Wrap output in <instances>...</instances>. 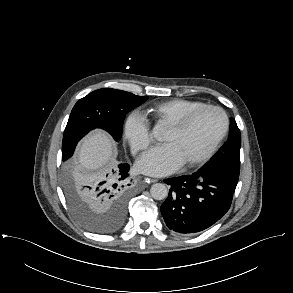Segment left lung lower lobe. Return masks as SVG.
<instances>
[{
  "label": "left lung lower lobe",
  "instance_id": "left-lung-lower-lobe-1",
  "mask_svg": "<svg viewBox=\"0 0 293 293\" xmlns=\"http://www.w3.org/2000/svg\"><path fill=\"white\" fill-rule=\"evenodd\" d=\"M164 182L171 186L161 206L166 225L180 234H194L224 216L238 180L215 171H197Z\"/></svg>",
  "mask_w": 293,
  "mask_h": 293
}]
</instances>
